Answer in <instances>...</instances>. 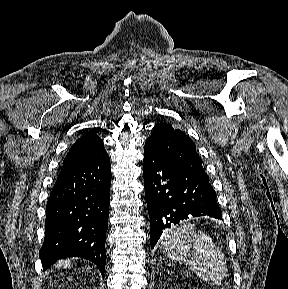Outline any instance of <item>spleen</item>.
Here are the masks:
<instances>
[{
  "label": "spleen",
  "instance_id": "3e777b00",
  "mask_svg": "<svg viewBox=\"0 0 288 289\" xmlns=\"http://www.w3.org/2000/svg\"><path fill=\"white\" fill-rule=\"evenodd\" d=\"M162 249L167 256L181 262L205 282H218L226 276V259L212 239L182 221L164 231Z\"/></svg>",
  "mask_w": 288,
  "mask_h": 289
}]
</instances>
